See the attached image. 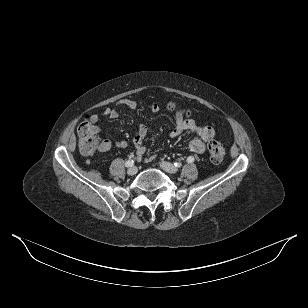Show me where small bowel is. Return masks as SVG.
Returning <instances> with one entry per match:
<instances>
[{
	"label": "small bowel",
	"mask_w": 308,
	"mask_h": 308,
	"mask_svg": "<svg viewBox=\"0 0 308 308\" xmlns=\"http://www.w3.org/2000/svg\"><path fill=\"white\" fill-rule=\"evenodd\" d=\"M137 104L134 100L123 99L115 108H106L103 115L110 119H116L119 116L118 108H127L130 110H135ZM152 111H158V106L156 104L151 105ZM93 119L99 122L98 116L94 115ZM188 132L193 136L189 143V149L195 154H202L206 149V143L214 137V130L208 125H199L193 119H185L183 115L179 112L175 115V127L170 132V137L176 138L182 133ZM148 134V127L144 124H140L134 132L133 143L136 148V155L138 160L150 161L153 159V155L149 153L145 146V138ZM111 141L108 139L100 140L97 151L106 152L111 148ZM128 146L126 140H120L116 142V147L124 149Z\"/></svg>",
	"instance_id": "obj_1"
}]
</instances>
